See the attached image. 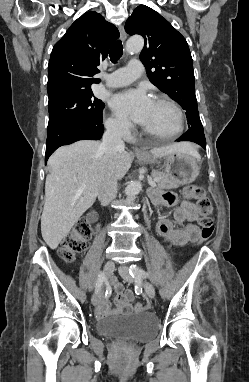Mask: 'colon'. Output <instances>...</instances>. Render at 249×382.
<instances>
[{"instance_id":"1","label":"colon","mask_w":249,"mask_h":382,"mask_svg":"<svg viewBox=\"0 0 249 382\" xmlns=\"http://www.w3.org/2000/svg\"><path fill=\"white\" fill-rule=\"evenodd\" d=\"M183 196L187 201L196 204L201 215L199 219L201 232L198 242L202 243L209 240L214 231V222L211 217L213 210L211 200L207 197L203 188L198 185L186 186L183 190ZM91 233V224L88 220L78 221L72 231L63 238L59 249L60 257L66 262L74 261L84 251ZM135 307L139 311L145 308L141 303H137Z\"/></svg>"}]
</instances>
